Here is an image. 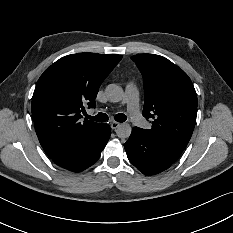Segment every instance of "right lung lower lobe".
Wrapping results in <instances>:
<instances>
[{"mask_svg": "<svg viewBox=\"0 0 233 233\" xmlns=\"http://www.w3.org/2000/svg\"><path fill=\"white\" fill-rule=\"evenodd\" d=\"M111 135L110 126L103 124L94 136L84 139L68 151L52 157L58 166L69 171L80 172L93 165L100 157Z\"/></svg>", "mask_w": 233, "mask_h": 233, "instance_id": "right-lung-lower-lobe-1", "label": "right lung lower lobe"}]
</instances>
